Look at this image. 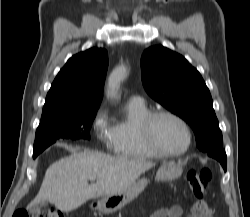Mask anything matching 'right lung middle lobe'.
Segmentation results:
<instances>
[{
  "label": "right lung middle lobe",
  "instance_id": "right-lung-middle-lobe-1",
  "mask_svg": "<svg viewBox=\"0 0 250 217\" xmlns=\"http://www.w3.org/2000/svg\"><path fill=\"white\" fill-rule=\"evenodd\" d=\"M98 108L72 110L42 116L36 130L33 158L60 138L90 139V128Z\"/></svg>",
  "mask_w": 250,
  "mask_h": 217
}]
</instances>
